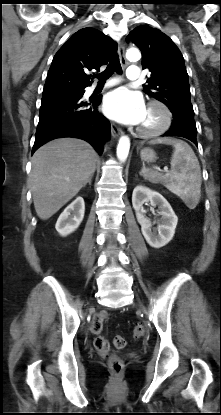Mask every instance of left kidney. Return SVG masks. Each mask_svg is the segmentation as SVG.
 Masks as SVG:
<instances>
[{"label": "left kidney", "mask_w": 221, "mask_h": 415, "mask_svg": "<svg viewBox=\"0 0 221 415\" xmlns=\"http://www.w3.org/2000/svg\"><path fill=\"white\" fill-rule=\"evenodd\" d=\"M148 201L152 206L159 208L158 214L161 215V219L157 228L152 229L151 220L144 214L143 204ZM132 205L136 212L137 221L141 225L142 234L151 247L161 248L172 240L178 218L171 205L160 193L144 186H137L133 190Z\"/></svg>", "instance_id": "1"}]
</instances>
